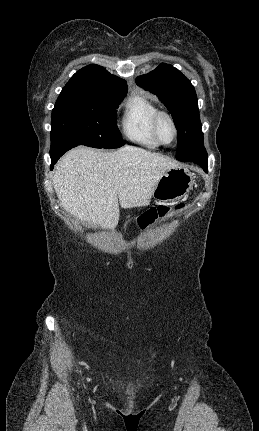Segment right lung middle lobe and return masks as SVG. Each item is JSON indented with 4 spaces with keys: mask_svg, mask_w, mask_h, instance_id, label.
Listing matches in <instances>:
<instances>
[{
    "mask_svg": "<svg viewBox=\"0 0 259 431\" xmlns=\"http://www.w3.org/2000/svg\"><path fill=\"white\" fill-rule=\"evenodd\" d=\"M125 95L126 92L99 96L60 94L52 111L50 150L78 145L123 146L116 127V109Z\"/></svg>",
    "mask_w": 259,
    "mask_h": 431,
    "instance_id": "obj_1",
    "label": "right lung middle lobe"
}]
</instances>
